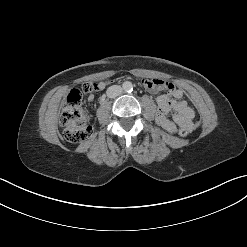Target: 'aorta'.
I'll use <instances>...</instances> for the list:
<instances>
[{"mask_svg":"<svg viewBox=\"0 0 247 247\" xmlns=\"http://www.w3.org/2000/svg\"><path fill=\"white\" fill-rule=\"evenodd\" d=\"M122 88H123L124 91L129 92V91H131V90L133 89V85H132L131 82L125 81V82L123 83V85H122Z\"/></svg>","mask_w":247,"mask_h":247,"instance_id":"aorta-1","label":"aorta"}]
</instances>
